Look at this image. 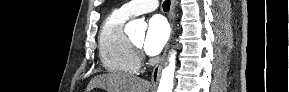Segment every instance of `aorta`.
Wrapping results in <instances>:
<instances>
[{
	"label": "aorta",
	"instance_id": "762f6f07",
	"mask_svg": "<svg viewBox=\"0 0 289 92\" xmlns=\"http://www.w3.org/2000/svg\"><path fill=\"white\" fill-rule=\"evenodd\" d=\"M147 24L143 20H132L126 25V31H134L135 29L145 30ZM176 65V52L172 51L169 56V64L162 70L161 79L157 92H172L173 80Z\"/></svg>",
	"mask_w": 289,
	"mask_h": 92
}]
</instances>
